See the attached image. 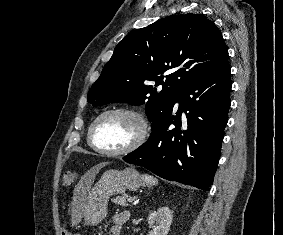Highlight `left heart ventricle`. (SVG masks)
I'll return each mask as SVG.
<instances>
[{"label": "left heart ventricle", "mask_w": 283, "mask_h": 235, "mask_svg": "<svg viewBox=\"0 0 283 235\" xmlns=\"http://www.w3.org/2000/svg\"><path fill=\"white\" fill-rule=\"evenodd\" d=\"M137 121L122 113L101 119L94 130V143L105 150H118L129 145L138 133Z\"/></svg>", "instance_id": "1"}]
</instances>
